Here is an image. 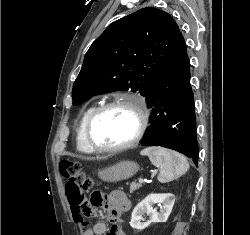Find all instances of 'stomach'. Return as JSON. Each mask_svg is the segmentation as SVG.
<instances>
[{"label":"stomach","mask_w":250,"mask_h":235,"mask_svg":"<svg viewBox=\"0 0 250 235\" xmlns=\"http://www.w3.org/2000/svg\"><path fill=\"white\" fill-rule=\"evenodd\" d=\"M138 170L136 162L126 160L101 170L98 176L104 182H118L134 176Z\"/></svg>","instance_id":"0dacf381"}]
</instances>
